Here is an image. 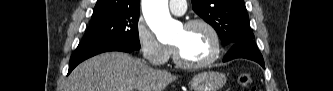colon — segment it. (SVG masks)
I'll return each mask as SVG.
<instances>
[{"label":"colon","mask_w":333,"mask_h":91,"mask_svg":"<svg viewBox=\"0 0 333 91\" xmlns=\"http://www.w3.org/2000/svg\"><path fill=\"white\" fill-rule=\"evenodd\" d=\"M239 85L244 89H251L252 88V78L248 73H243L238 77Z\"/></svg>","instance_id":"obj_1"}]
</instances>
